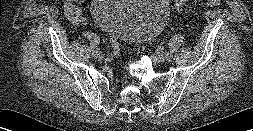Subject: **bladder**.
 I'll list each match as a JSON object with an SVG mask.
<instances>
[{"label": "bladder", "mask_w": 253, "mask_h": 131, "mask_svg": "<svg viewBox=\"0 0 253 131\" xmlns=\"http://www.w3.org/2000/svg\"><path fill=\"white\" fill-rule=\"evenodd\" d=\"M91 13L100 28L126 44L158 35L169 8L163 0H93Z\"/></svg>", "instance_id": "31cf9c89"}]
</instances>
